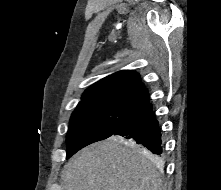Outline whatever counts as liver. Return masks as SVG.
Masks as SVG:
<instances>
[{"mask_svg": "<svg viewBox=\"0 0 221 190\" xmlns=\"http://www.w3.org/2000/svg\"><path fill=\"white\" fill-rule=\"evenodd\" d=\"M157 159L121 137L76 153L62 171L64 190H164Z\"/></svg>", "mask_w": 221, "mask_h": 190, "instance_id": "6515ba94", "label": "liver"}]
</instances>
